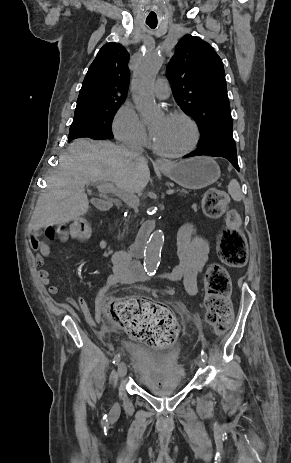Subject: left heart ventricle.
<instances>
[{"instance_id":"obj_1","label":"left heart ventricle","mask_w":291,"mask_h":463,"mask_svg":"<svg viewBox=\"0 0 291 463\" xmlns=\"http://www.w3.org/2000/svg\"><path fill=\"white\" fill-rule=\"evenodd\" d=\"M161 125V129L153 144L161 151L176 152L185 148L191 140V129L182 120L169 117L167 120L159 118L153 127Z\"/></svg>"}]
</instances>
